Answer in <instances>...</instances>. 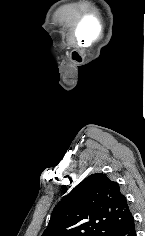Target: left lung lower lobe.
I'll return each mask as SVG.
<instances>
[{
  "label": "left lung lower lobe",
  "mask_w": 145,
  "mask_h": 236,
  "mask_svg": "<svg viewBox=\"0 0 145 236\" xmlns=\"http://www.w3.org/2000/svg\"><path fill=\"white\" fill-rule=\"evenodd\" d=\"M114 236H136L134 217H131L115 232Z\"/></svg>",
  "instance_id": "left-lung-lower-lobe-1"
}]
</instances>
